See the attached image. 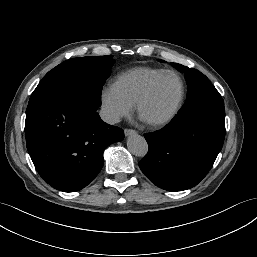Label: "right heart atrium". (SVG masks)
Masks as SVG:
<instances>
[{
	"mask_svg": "<svg viewBox=\"0 0 257 257\" xmlns=\"http://www.w3.org/2000/svg\"><path fill=\"white\" fill-rule=\"evenodd\" d=\"M100 101L103 116L111 123H115L122 117L130 115L133 110V105L114 86H108L102 89Z\"/></svg>",
	"mask_w": 257,
	"mask_h": 257,
	"instance_id": "obj_1",
	"label": "right heart atrium"
}]
</instances>
